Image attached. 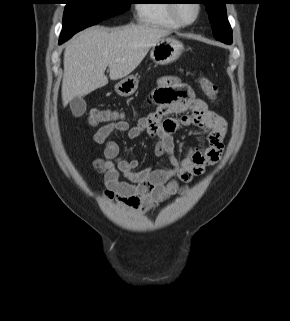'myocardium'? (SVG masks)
Returning a JSON list of instances; mask_svg holds the SVG:
<instances>
[{
    "label": "myocardium",
    "instance_id": "obj_1",
    "mask_svg": "<svg viewBox=\"0 0 290 321\" xmlns=\"http://www.w3.org/2000/svg\"><path fill=\"white\" fill-rule=\"evenodd\" d=\"M173 3H170V12L174 20L179 23L181 26H190L193 25L200 17L201 12H202V5L198 2H195V7H196V15L193 20L191 21H186L184 20L178 13V6L180 3H177V0H171Z\"/></svg>",
    "mask_w": 290,
    "mask_h": 321
}]
</instances>
